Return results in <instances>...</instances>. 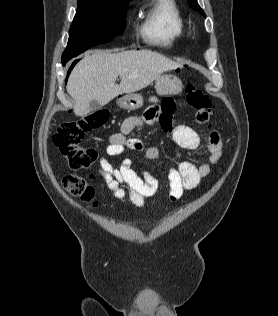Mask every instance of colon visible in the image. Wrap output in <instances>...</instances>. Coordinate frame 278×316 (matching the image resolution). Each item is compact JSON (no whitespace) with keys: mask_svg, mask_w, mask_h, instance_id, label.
Here are the masks:
<instances>
[{"mask_svg":"<svg viewBox=\"0 0 278 316\" xmlns=\"http://www.w3.org/2000/svg\"><path fill=\"white\" fill-rule=\"evenodd\" d=\"M185 97L187 104L196 111V121L198 123L209 122L213 112L210 100L203 91L194 83H189L186 87ZM107 119V112L99 111L77 120L65 121L59 125L53 135V142L72 169H87L97 160V151L94 148L82 146L81 141L87 132L102 127ZM63 186L72 196L80 197L85 201L93 200V187L80 176H66L63 179Z\"/></svg>","mask_w":278,"mask_h":316,"instance_id":"obj_1","label":"colon"}]
</instances>
